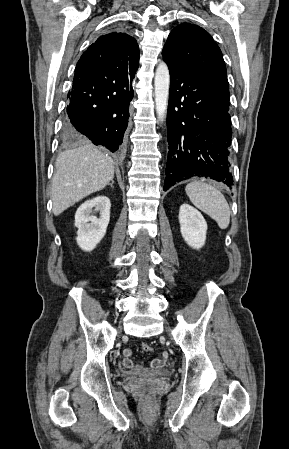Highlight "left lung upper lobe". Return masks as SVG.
Listing matches in <instances>:
<instances>
[{"label":"left lung upper lobe","instance_id":"1","mask_svg":"<svg viewBox=\"0 0 289 449\" xmlns=\"http://www.w3.org/2000/svg\"><path fill=\"white\" fill-rule=\"evenodd\" d=\"M162 55L173 64L196 71L230 99L221 50L203 28L188 23L177 26L169 34Z\"/></svg>","mask_w":289,"mask_h":449}]
</instances>
